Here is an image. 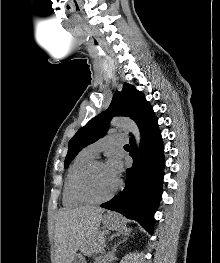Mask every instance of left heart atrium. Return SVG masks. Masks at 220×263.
I'll return each instance as SVG.
<instances>
[{
    "mask_svg": "<svg viewBox=\"0 0 220 263\" xmlns=\"http://www.w3.org/2000/svg\"><path fill=\"white\" fill-rule=\"evenodd\" d=\"M105 167L107 171L109 172V174L118 181L119 176L122 171V164H121L119 157L116 155H111L108 158L105 164Z\"/></svg>",
    "mask_w": 220,
    "mask_h": 263,
    "instance_id": "39dd6f15",
    "label": "left heart atrium"
}]
</instances>
